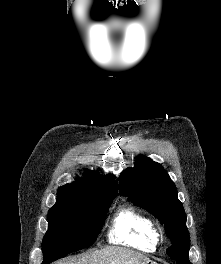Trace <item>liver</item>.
Returning <instances> with one entry per match:
<instances>
[{"mask_svg":"<svg viewBox=\"0 0 221 264\" xmlns=\"http://www.w3.org/2000/svg\"><path fill=\"white\" fill-rule=\"evenodd\" d=\"M145 260H149V258L133 250L122 247H106L55 264H141Z\"/></svg>","mask_w":221,"mask_h":264,"instance_id":"1","label":"liver"}]
</instances>
